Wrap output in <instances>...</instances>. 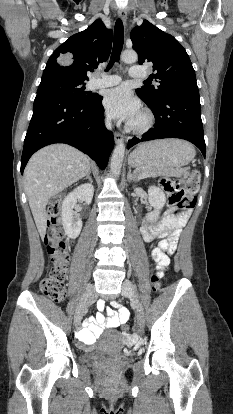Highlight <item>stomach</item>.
<instances>
[{"label":"stomach","mask_w":233,"mask_h":414,"mask_svg":"<svg viewBox=\"0 0 233 414\" xmlns=\"http://www.w3.org/2000/svg\"><path fill=\"white\" fill-rule=\"evenodd\" d=\"M194 156L195 150L190 143L178 139H165L139 145L129 155L128 163L132 167L169 172L187 165Z\"/></svg>","instance_id":"obj_1"}]
</instances>
